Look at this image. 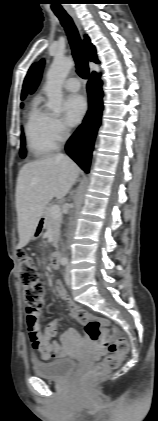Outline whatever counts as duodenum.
<instances>
[{
	"instance_id": "obj_1",
	"label": "duodenum",
	"mask_w": 158,
	"mask_h": 421,
	"mask_svg": "<svg viewBox=\"0 0 158 421\" xmlns=\"http://www.w3.org/2000/svg\"><path fill=\"white\" fill-rule=\"evenodd\" d=\"M62 261V255L59 251H56L51 256V265L53 268H58Z\"/></svg>"
}]
</instances>
